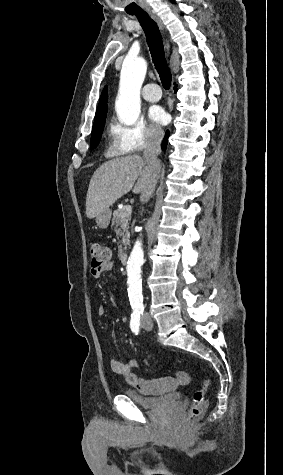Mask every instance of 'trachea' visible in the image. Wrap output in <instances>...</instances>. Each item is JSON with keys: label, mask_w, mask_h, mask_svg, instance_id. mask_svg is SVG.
<instances>
[{"label": "trachea", "mask_w": 283, "mask_h": 475, "mask_svg": "<svg viewBox=\"0 0 283 475\" xmlns=\"http://www.w3.org/2000/svg\"><path fill=\"white\" fill-rule=\"evenodd\" d=\"M135 15L140 22L146 35V41L151 53L152 61L157 70L163 88L169 90L172 82V74L165 58L163 39L157 23L146 12L129 13Z\"/></svg>", "instance_id": "trachea-1"}]
</instances>
